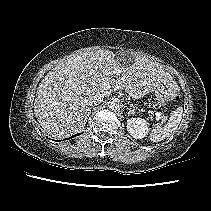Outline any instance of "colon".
Returning <instances> with one entry per match:
<instances>
[{"label":"colon","instance_id":"colon-1","mask_svg":"<svg viewBox=\"0 0 211 211\" xmlns=\"http://www.w3.org/2000/svg\"><path fill=\"white\" fill-rule=\"evenodd\" d=\"M177 99H178V96L175 97V100H177Z\"/></svg>","mask_w":211,"mask_h":211}]
</instances>
